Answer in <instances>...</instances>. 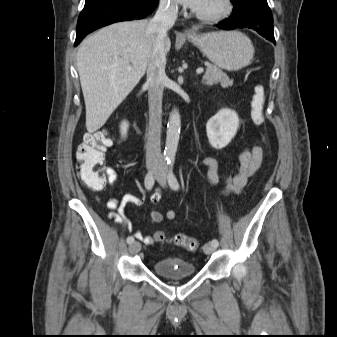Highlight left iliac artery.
Listing matches in <instances>:
<instances>
[{
    "instance_id": "44dca946",
    "label": "left iliac artery",
    "mask_w": 337,
    "mask_h": 337,
    "mask_svg": "<svg viewBox=\"0 0 337 337\" xmlns=\"http://www.w3.org/2000/svg\"><path fill=\"white\" fill-rule=\"evenodd\" d=\"M174 161H175L174 156H170L167 159V163L169 165L168 183L173 190H178L179 189V183H178L177 178L175 177V175L173 173ZM210 243L213 246H216V247L219 245V242H218L217 239H213Z\"/></svg>"
}]
</instances>
